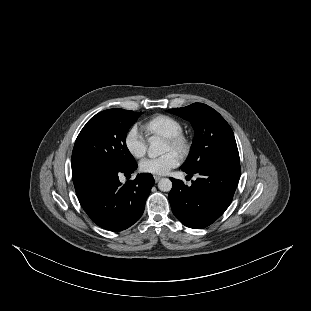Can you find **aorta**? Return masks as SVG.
<instances>
[{"mask_svg":"<svg viewBox=\"0 0 311 311\" xmlns=\"http://www.w3.org/2000/svg\"><path fill=\"white\" fill-rule=\"evenodd\" d=\"M168 148H166L164 141L155 136L149 138V146L147 148V154L150 158H156L164 153H166ZM158 188L163 192H169L172 189V182L168 178H163L158 183Z\"/></svg>","mask_w":311,"mask_h":311,"instance_id":"1","label":"aorta"}]
</instances>
